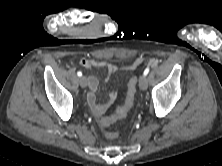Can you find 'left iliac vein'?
I'll use <instances>...</instances> for the list:
<instances>
[{
  "instance_id": "1",
  "label": "left iliac vein",
  "mask_w": 222,
  "mask_h": 166,
  "mask_svg": "<svg viewBox=\"0 0 222 166\" xmlns=\"http://www.w3.org/2000/svg\"><path fill=\"white\" fill-rule=\"evenodd\" d=\"M147 86H148V83H147V78L145 75H141L139 77V87L141 90H146L147 89Z\"/></svg>"
}]
</instances>
